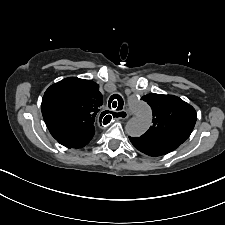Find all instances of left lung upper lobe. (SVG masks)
<instances>
[{"mask_svg":"<svg viewBox=\"0 0 225 225\" xmlns=\"http://www.w3.org/2000/svg\"><path fill=\"white\" fill-rule=\"evenodd\" d=\"M152 109L153 124L141 137L182 144L191 134L197 119L194 108L173 95L151 93L142 97Z\"/></svg>","mask_w":225,"mask_h":225,"instance_id":"5c2ea615","label":"left lung upper lobe"}]
</instances>
